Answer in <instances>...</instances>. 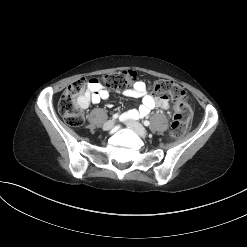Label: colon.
Here are the masks:
<instances>
[{
    "label": "colon",
    "instance_id": "obj_1",
    "mask_svg": "<svg viewBox=\"0 0 247 247\" xmlns=\"http://www.w3.org/2000/svg\"><path fill=\"white\" fill-rule=\"evenodd\" d=\"M133 71H119L102 76L96 80L102 86L111 89H122L133 81ZM87 81L80 79L70 84L63 92L59 103L58 111L65 122L72 126H81L84 122L83 109L85 108ZM152 91L158 95H170L175 101V111L171 123V135L175 138L183 136L188 128L191 119V110L186 103V92L177 83L159 79L151 86Z\"/></svg>",
    "mask_w": 247,
    "mask_h": 247
}]
</instances>
